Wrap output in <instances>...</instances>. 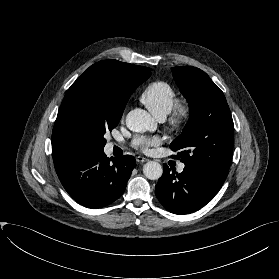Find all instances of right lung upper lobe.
<instances>
[{"instance_id": "cb5924a9", "label": "right lung upper lobe", "mask_w": 279, "mask_h": 279, "mask_svg": "<svg viewBox=\"0 0 279 279\" xmlns=\"http://www.w3.org/2000/svg\"><path fill=\"white\" fill-rule=\"evenodd\" d=\"M151 75V69L109 59L90 66L74 84L84 81L85 94L99 105L123 113L132 92ZM54 164L61 161L53 152Z\"/></svg>"}]
</instances>
